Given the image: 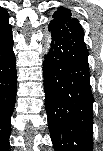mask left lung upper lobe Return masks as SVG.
Segmentation results:
<instances>
[{"instance_id": "left-lung-upper-lobe-1", "label": "left lung upper lobe", "mask_w": 103, "mask_h": 151, "mask_svg": "<svg viewBox=\"0 0 103 151\" xmlns=\"http://www.w3.org/2000/svg\"><path fill=\"white\" fill-rule=\"evenodd\" d=\"M72 13L70 10L60 7L57 12L53 15L55 20L51 21V25L58 30L68 28L73 23H79L78 19L71 17Z\"/></svg>"}]
</instances>
